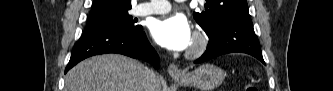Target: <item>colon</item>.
Returning <instances> with one entry per match:
<instances>
[{
  "label": "colon",
  "mask_w": 333,
  "mask_h": 91,
  "mask_svg": "<svg viewBox=\"0 0 333 91\" xmlns=\"http://www.w3.org/2000/svg\"><path fill=\"white\" fill-rule=\"evenodd\" d=\"M245 91H258V88L254 84H248L245 87Z\"/></svg>",
  "instance_id": "1"
}]
</instances>
